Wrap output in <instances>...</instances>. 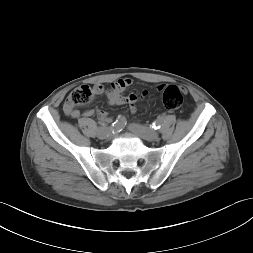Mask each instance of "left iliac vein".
<instances>
[{"instance_id": "obj_1", "label": "left iliac vein", "mask_w": 253, "mask_h": 253, "mask_svg": "<svg viewBox=\"0 0 253 253\" xmlns=\"http://www.w3.org/2000/svg\"><path fill=\"white\" fill-rule=\"evenodd\" d=\"M128 129L131 132L135 133L136 135L140 136L141 138L147 141H157L159 139V134L157 132L149 130L139 124H135V123L130 124L128 126Z\"/></svg>"}]
</instances>
